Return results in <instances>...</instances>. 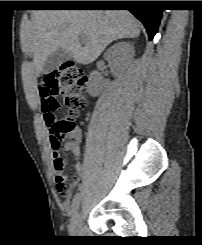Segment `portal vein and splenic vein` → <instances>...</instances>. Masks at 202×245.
<instances>
[{
    "instance_id": "1",
    "label": "portal vein and splenic vein",
    "mask_w": 202,
    "mask_h": 245,
    "mask_svg": "<svg viewBox=\"0 0 202 245\" xmlns=\"http://www.w3.org/2000/svg\"><path fill=\"white\" fill-rule=\"evenodd\" d=\"M81 39H82L83 42H86V36H85V34H81Z\"/></svg>"
}]
</instances>
